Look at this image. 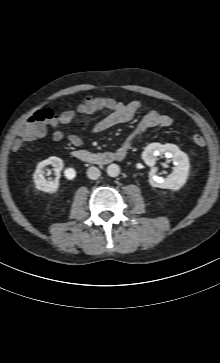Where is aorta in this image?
Instances as JSON below:
<instances>
[{
    "label": "aorta",
    "instance_id": "aorta-1",
    "mask_svg": "<svg viewBox=\"0 0 220 363\" xmlns=\"http://www.w3.org/2000/svg\"><path fill=\"white\" fill-rule=\"evenodd\" d=\"M106 171L110 177H117L120 174V167L117 164H110Z\"/></svg>",
    "mask_w": 220,
    "mask_h": 363
}]
</instances>
